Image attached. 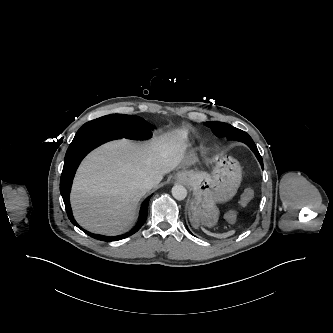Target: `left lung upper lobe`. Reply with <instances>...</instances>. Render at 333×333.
<instances>
[{
	"label": "left lung upper lobe",
	"mask_w": 333,
	"mask_h": 333,
	"mask_svg": "<svg viewBox=\"0 0 333 333\" xmlns=\"http://www.w3.org/2000/svg\"><path fill=\"white\" fill-rule=\"evenodd\" d=\"M204 124L210 127L213 133L217 137H227L228 139L237 140L244 143L245 139L247 138L251 139V137L247 133L233 127L230 124H226L223 122H212V121L205 122Z\"/></svg>",
	"instance_id": "5c2ea615"
}]
</instances>
